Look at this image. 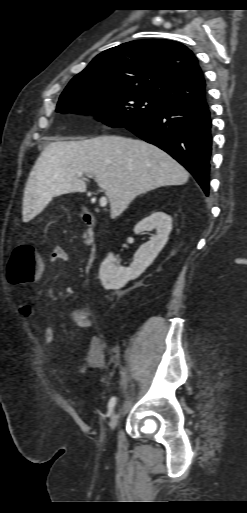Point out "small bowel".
Here are the masks:
<instances>
[{"label":"small bowel","mask_w":247,"mask_h":513,"mask_svg":"<svg viewBox=\"0 0 247 513\" xmlns=\"http://www.w3.org/2000/svg\"><path fill=\"white\" fill-rule=\"evenodd\" d=\"M69 255L62 247H56L51 255L50 261L52 263L67 262ZM20 314L25 318L33 316V310L28 303H22L19 307ZM72 320L80 329H90L93 327V321L90 317V311L87 308H78L72 313ZM42 335V341L45 346L50 345L55 339V330L50 326H43L37 328ZM120 353V348L114 346L111 349L113 357H117ZM106 361V351L102 339L99 336H92L90 338L84 359L82 362L75 365L63 364L64 368L72 369L79 373H85L89 369L100 368Z\"/></svg>","instance_id":"obj_1"}]
</instances>
